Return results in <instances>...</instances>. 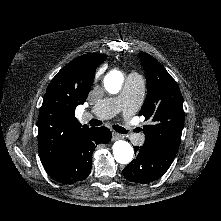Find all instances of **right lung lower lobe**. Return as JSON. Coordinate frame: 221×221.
Masks as SVG:
<instances>
[{"label": "right lung lower lobe", "instance_id": "1", "mask_svg": "<svg viewBox=\"0 0 221 221\" xmlns=\"http://www.w3.org/2000/svg\"><path fill=\"white\" fill-rule=\"evenodd\" d=\"M111 136L106 127L86 128L81 131L72 140L58 171L51 177L63 184L84 180L90 174L92 153L96 145L109 143Z\"/></svg>", "mask_w": 221, "mask_h": 221}]
</instances>
